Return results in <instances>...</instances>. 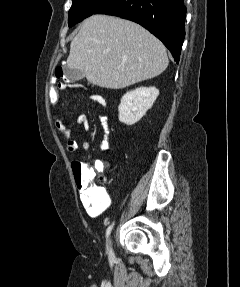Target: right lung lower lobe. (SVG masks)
<instances>
[{"instance_id": "1", "label": "right lung lower lobe", "mask_w": 240, "mask_h": 287, "mask_svg": "<svg viewBox=\"0 0 240 287\" xmlns=\"http://www.w3.org/2000/svg\"><path fill=\"white\" fill-rule=\"evenodd\" d=\"M94 14L118 16L142 25L164 43L179 63L185 37L183 0H107Z\"/></svg>"}]
</instances>
